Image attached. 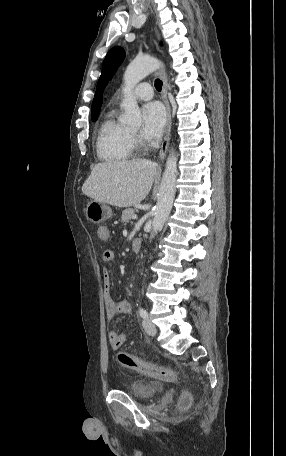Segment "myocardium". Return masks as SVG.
Wrapping results in <instances>:
<instances>
[{
	"instance_id": "1",
	"label": "myocardium",
	"mask_w": 286,
	"mask_h": 456,
	"mask_svg": "<svg viewBox=\"0 0 286 456\" xmlns=\"http://www.w3.org/2000/svg\"><path fill=\"white\" fill-rule=\"evenodd\" d=\"M131 135L133 138L134 150H142L144 148L143 142L139 139L135 132H131Z\"/></svg>"
}]
</instances>
